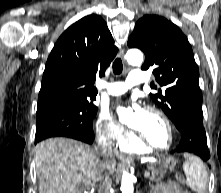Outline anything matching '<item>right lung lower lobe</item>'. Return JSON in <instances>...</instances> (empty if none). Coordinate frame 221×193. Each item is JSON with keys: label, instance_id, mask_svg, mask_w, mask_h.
I'll return each mask as SVG.
<instances>
[{"label": "right lung lower lobe", "instance_id": "98d812e1", "mask_svg": "<svg viewBox=\"0 0 221 193\" xmlns=\"http://www.w3.org/2000/svg\"><path fill=\"white\" fill-rule=\"evenodd\" d=\"M81 141H84V142H86V143H92L93 141H94V137H88V138H85L84 137V140H81ZM35 143H37L36 141H35Z\"/></svg>", "mask_w": 221, "mask_h": 193}]
</instances>
